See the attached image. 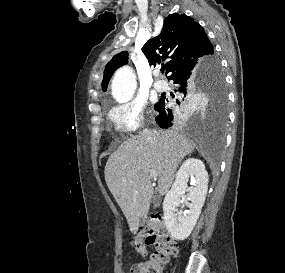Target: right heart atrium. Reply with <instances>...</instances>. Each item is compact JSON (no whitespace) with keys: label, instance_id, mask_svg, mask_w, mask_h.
Returning a JSON list of instances; mask_svg holds the SVG:
<instances>
[{"label":"right heart atrium","instance_id":"1","mask_svg":"<svg viewBox=\"0 0 285 273\" xmlns=\"http://www.w3.org/2000/svg\"><path fill=\"white\" fill-rule=\"evenodd\" d=\"M110 119L116 131L132 134L139 131L145 121V105L136 100L126 101L114 106Z\"/></svg>","mask_w":285,"mask_h":273}]
</instances>
